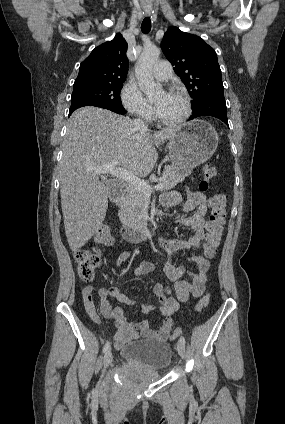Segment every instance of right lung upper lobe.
<instances>
[{
  "label": "right lung upper lobe",
  "mask_w": 285,
  "mask_h": 424,
  "mask_svg": "<svg viewBox=\"0 0 285 424\" xmlns=\"http://www.w3.org/2000/svg\"><path fill=\"white\" fill-rule=\"evenodd\" d=\"M127 42L121 34L96 47L81 63L74 85L94 82H122L128 71Z\"/></svg>",
  "instance_id": "right-lung-upper-lobe-1"
}]
</instances>
